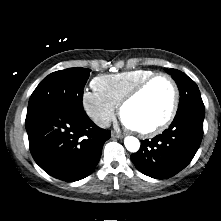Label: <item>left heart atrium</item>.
I'll list each match as a JSON object with an SVG mask.
<instances>
[{"mask_svg":"<svg viewBox=\"0 0 221 221\" xmlns=\"http://www.w3.org/2000/svg\"><path fill=\"white\" fill-rule=\"evenodd\" d=\"M122 122L126 127L133 128L132 125L124 117H122Z\"/></svg>","mask_w":221,"mask_h":221,"instance_id":"obj_1","label":"left heart atrium"}]
</instances>
